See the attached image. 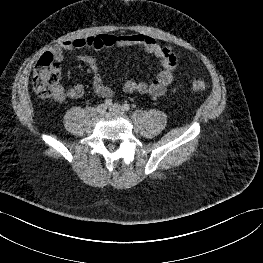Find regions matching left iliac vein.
<instances>
[{
	"mask_svg": "<svg viewBox=\"0 0 263 263\" xmlns=\"http://www.w3.org/2000/svg\"><path fill=\"white\" fill-rule=\"evenodd\" d=\"M109 110L111 112H114V113H118V114H123L124 113V109L122 106H120L119 104H113L109 107Z\"/></svg>",
	"mask_w": 263,
	"mask_h": 263,
	"instance_id": "1",
	"label": "left iliac vein"
}]
</instances>
